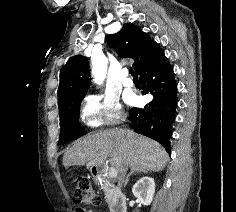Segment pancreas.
<instances>
[{
  "label": "pancreas",
  "instance_id": "cf45deb5",
  "mask_svg": "<svg viewBox=\"0 0 236 212\" xmlns=\"http://www.w3.org/2000/svg\"><path fill=\"white\" fill-rule=\"evenodd\" d=\"M103 183H104L103 190H104V194H105V200L107 203H109L111 201V197H112L111 190L109 189L107 182L103 181Z\"/></svg>",
  "mask_w": 236,
  "mask_h": 212
}]
</instances>
